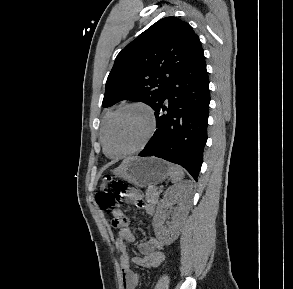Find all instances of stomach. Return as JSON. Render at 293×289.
I'll list each match as a JSON object with an SVG mask.
<instances>
[{
	"instance_id": "0dacf381",
	"label": "stomach",
	"mask_w": 293,
	"mask_h": 289,
	"mask_svg": "<svg viewBox=\"0 0 293 289\" xmlns=\"http://www.w3.org/2000/svg\"><path fill=\"white\" fill-rule=\"evenodd\" d=\"M113 173L135 186L146 187L163 182L169 175V166L155 157H129Z\"/></svg>"
}]
</instances>
